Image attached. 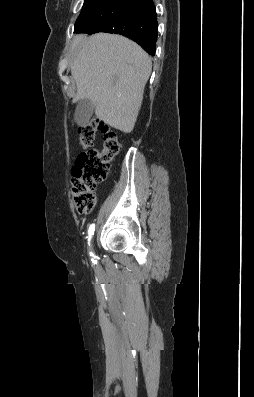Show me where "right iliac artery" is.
Returning <instances> with one entry per match:
<instances>
[{
  "mask_svg": "<svg viewBox=\"0 0 254 397\" xmlns=\"http://www.w3.org/2000/svg\"><path fill=\"white\" fill-rule=\"evenodd\" d=\"M94 230H95V224H92V225L89 227V230H88V241L91 240V237H92V235H93V233H94ZM90 255H91V256H94L92 252H90Z\"/></svg>",
  "mask_w": 254,
  "mask_h": 397,
  "instance_id": "right-iliac-artery-1",
  "label": "right iliac artery"
}]
</instances>
